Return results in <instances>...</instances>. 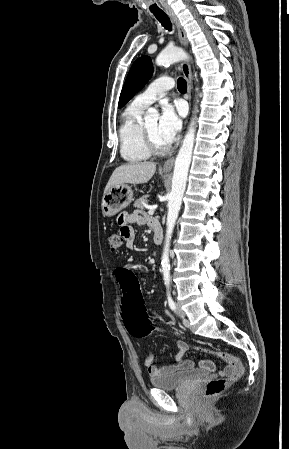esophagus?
Segmentation results:
<instances>
[{"mask_svg": "<svg viewBox=\"0 0 289 449\" xmlns=\"http://www.w3.org/2000/svg\"><path fill=\"white\" fill-rule=\"evenodd\" d=\"M168 15L170 16V18L172 19V21L174 22L177 31H178V36H179V40L181 42L182 45L187 46L188 45V40H187V35L186 32L183 28V26L181 25L179 19L177 18V16L173 13V12H168ZM181 69L182 72L186 78L187 81V94H186V99L189 101L191 100V89H192V73H191V67L187 62H182L181 63ZM174 157L169 158L163 165V170L165 171H170L174 165Z\"/></svg>", "mask_w": 289, "mask_h": 449, "instance_id": "1", "label": "esophagus"}]
</instances>
